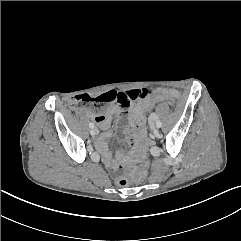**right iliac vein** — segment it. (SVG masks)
<instances>
[{
    "mask_svg": "<svg viewBox=\"0 0 241 241\" xmlns=\"http://www.w3.org/2000/svg\"><path fill=\"white\" fill-rule=\"evenodd\" d=\"M97 133H98V129H97V128H92V129L90 130V134H91L92 136H95Z\"/></svg>",
    "mask_w": 241,
    "mask_h": 241,
    "instance_id": "1",
    "label": "right iliac vein"
}]
</instances>
